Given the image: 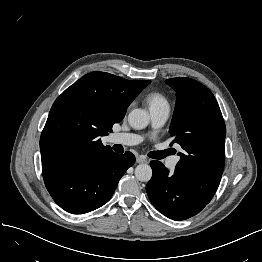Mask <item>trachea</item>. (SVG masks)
<instances>
[{
  "label": "trachea",
  "mask_w": 262,
  "mask_h": 262,
  "mask_svg": "<svg viewBox=\"0 0 262 262\" xmlns=\"http://www.w3.org/2000/svg\"><path fill=\"white\" fill-rule=\"evenodd\" d=\"M171 155L170 150H165V151H153L148 154L149 157L153 159H163L166 156Z\"/></svg>",
  "instance_id": "trachea-1"
}]
</instances>
